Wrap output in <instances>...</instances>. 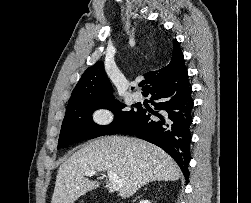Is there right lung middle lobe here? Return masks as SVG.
<instances>
[{
	"mask_svg": "<svg viewBox=\"0 0 251 203\" xmlns=\"http://www.w3.org/2000/svg\"><path fill=\"white\" fill-rule=\"evenodd\" d=\"M124 108L125 105L114 98L69 104L61 127L58 148L67 147L80 140L116 134L140 109L127 111ZM97 109L110 110L115 116L114 121L106 126L94 123L91 116Z\"/></svg>",
	"mask_w": 251,
	"mask_h": 203,
	"instance_id": "1",
	"label": "right lung middle lobe"
}]
</instances>
